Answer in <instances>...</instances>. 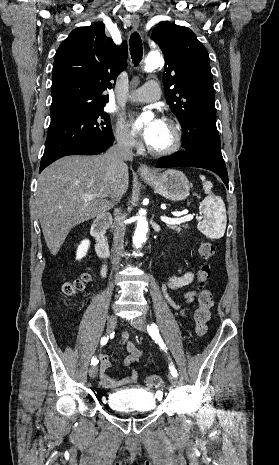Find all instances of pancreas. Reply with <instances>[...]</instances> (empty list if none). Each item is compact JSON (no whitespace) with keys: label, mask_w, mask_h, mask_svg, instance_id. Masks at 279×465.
Wrapping results in <instances>:
<instances>
[{"label":"pancreas","mask_w":279,"mask_h":465,"mask_svg":"<svg viewBox=\"0 0 279 465\" xmlns=\"http://www.w3.org/2000/svg\"><path fill=\"white\" fill-rule=\"evenodd\" d=\"M167 227L170 228V229L175 230V231L178 232V233L180 232V229H181V228H180L179 226H177V225H167ZM184 227L187 228V226H184Z\"/></svg>","instance_id":"cf45deb5"}]
</instances>
